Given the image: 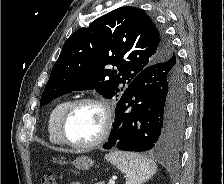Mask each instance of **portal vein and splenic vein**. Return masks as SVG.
<instances>
[{"label": "portal vein and splenic vein", "mask_w": 224, "mask_h": 184, "mask_svg": "<svg viewBox=\"0 0 224 184\" xmlns=\"http://www.w3.org/2000/svg\"><path fill=\"white\" fill-rule=\"evenodd\" d=\"M108 184H115V181L113 179H110Z\"/></svg>", "instance_id": "obj_1"}]
</instances>
